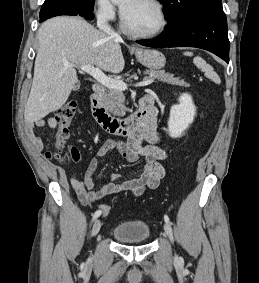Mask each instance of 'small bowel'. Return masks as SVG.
Listing matches in <instances>:
<instances>
[{
	"mask_svg": "<svg viewBox=\"0 0 259 283\" xmlns=\"http://www.w3.org/2000/svg\"><path fill=\"white\" fill-rule=\"evenodd\" d=\"M45 126L54 129L57 126L55 118L49 117L30 121L25 127V133L37 151L43 150L44 143L43 139L36 134L35 129ZM160 139L156 118H154L149 126L138 131L127 142L119 139L106 141L98 149L96 156L90 160L83 176L81 178H72L70 181L79 200L83 204H88L110 194L128 192L134 196H140L146 189H156L166 175V169L162 161L168 157V153L159 146ZM143 141H146L147 144L143 145ZM111 150H117L121 158L129 161L143 158L145 160L143 173L139 178L120 183L116 182L120 174L113 173L104 186L96 189L93 177L98 167V158L106 156ZM46 168L51 174L55 172L51 165H47ZM58 174L63 176L62 171H58Z\"/></svg>",
	"mask_w": 259,
	"mask_h": 283,
	"instance_id": "small-bowel-1",
	"label": "small bowel"
}]
</instances>
